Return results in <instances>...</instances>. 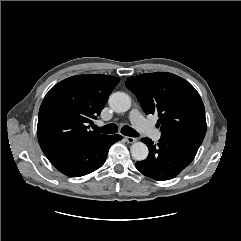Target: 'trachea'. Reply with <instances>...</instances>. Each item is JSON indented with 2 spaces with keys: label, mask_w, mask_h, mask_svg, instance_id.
<instances>
[{
  "label": "trachea",
  "mask_w": 241,
  "mask_h": 241,
  "mask_svg": "<svg viewBox=\"0 0 241 241\" xmlns=\"http://www.w3.org/2000/svg\"><path fill=\"white\" fill-rule=\"evenodd\" d=\"M92 128L97 132L105 133V134H114L118 131V126L116 124H107L103 127H97L96 125H94ZM121 133L123 135L130 136V137L139 136V134L134 129H132L127 125L121 128Z\"/></svg>",
  "instance_id": "1"
}]
</instances>
